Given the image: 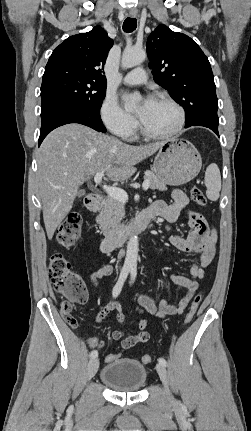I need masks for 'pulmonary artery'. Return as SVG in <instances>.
<instances>
[{
  "mask_svg": "<svg viewBox=\"0 0 251 431\" xmlns=\"http://www.w3.org/2000/svg\"><path fill=\"white\" fill-rule=\"evenodd\" d=\"M147 80L146 72L143 68L138 67L128 72L124 77L123 81L129 85H139L145 83Z\"/></svg>",
  "mask_w": 251,
  "mask_h": 431,
  "instance_id": "e3ab8cb5",
  "label": "pulmonary artery"
}]
</instances>
